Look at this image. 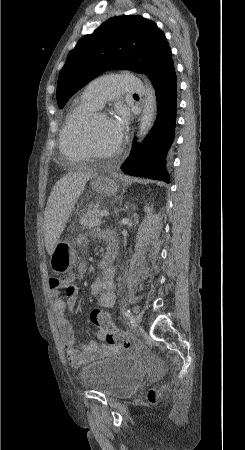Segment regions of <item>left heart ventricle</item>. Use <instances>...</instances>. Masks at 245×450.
<instances>
[{"label":"left heart ventricle","mask_w":245,"mask_h":450,"mask_svg":"<svg viewBox=\"0 0 245 450\" xmlns=\"http://www.w3.org/2000/svg\"><path fill=\"white\" fill-rule=\"evenodd\" d=\"M93 134L97 147L104 152H113L120 146L112 137L109 119L103 115L93 117Z\"/></svg>","instance_id":"obj_1"}]
</instances>
